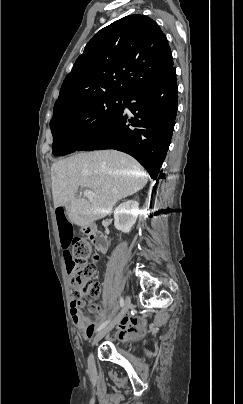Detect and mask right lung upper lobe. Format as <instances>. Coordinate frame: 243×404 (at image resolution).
I'll return each instance as SVG.
<instances>
[{
    "instance_id": "cb5924a9",
    "label": "right lung upper lobe",
    "mask_w": 243,
    "mask_h": 404,
    "mask_svg": "<svg viewBox=\"0 0 243 404\" xmlns=\"http://www.w3.org/2000/svg\"><path fill=\"white\" fill-rule=\"evenodd\" d=\"M173 68L165 34L151 18L135 14L101 29L66 76L53 117L102 97H122Z\"/></svg>"
}]
</instances>
